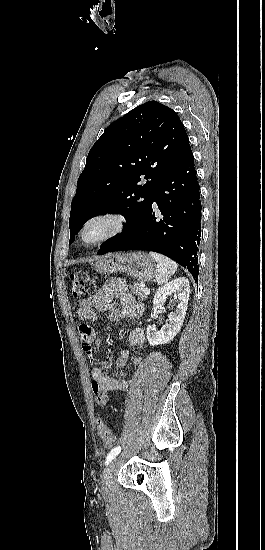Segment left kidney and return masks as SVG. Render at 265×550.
Returning a JSON list of instances; mask_svg holds the SVG:
<instances>
[{
	"instance_id": "obj_1",
	"label": "left kidney",
	"mask_w": 265,
	"mask_h": 550,
	"mask_svg": "<svg viewBox=\"0 0 265 550\" xmlns=\"http://www.w3.org/2000/svg\"><path fill=\"white\" fill-rule=\"evenodd\" d=\"M170 293H174L178 305L174 312L169 313L168 321L160 331L155 326L148 325L146 335L151 346L168 343L183 325L190 294L189 281L185 277H179L160 287L154 295L153 305H163Z\"/></svg>"
}]
</instances>
